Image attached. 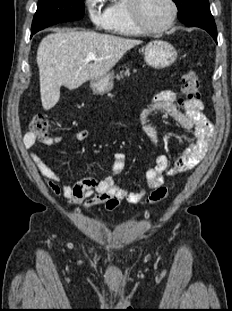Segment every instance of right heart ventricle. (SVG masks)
<instances>
[{"mask_svg": "<svg viewBox=\"0 0 232 311\" xmlns=\"http://www.w3.org/2000/svg\"><path fill=\"white\" fill-rule=\"evenodd\" d=\"M105 29L121 36H139L142 34L132 23L128 11V0H111L106 9Z\"/></svg>", "mask_w": 232, "mask_h": 311, "instance_id": "1", "label": "right heart ventricle"}]
</instances>
